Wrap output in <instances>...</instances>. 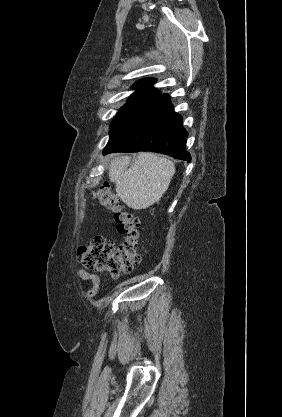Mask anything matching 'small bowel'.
<instances>
[{"label": "small bowel", "instance_id": "obj_1", "mask_svg": "<svg viewBox=\"0 0 282 417\" xmlns=\"http://www.w3.org/2000/svg\"><path fill=\"white\" fill-rule=\"evenodd\" d=\"M77 277L85 282H89L91 286L86 290L85 296L87 299H92L96 296L99 286H100V278L92 274L84 269H77L76 271Z\"/></svg>", "mask_w": 282, "mask_h": 417}]
</instances>
